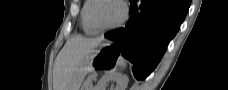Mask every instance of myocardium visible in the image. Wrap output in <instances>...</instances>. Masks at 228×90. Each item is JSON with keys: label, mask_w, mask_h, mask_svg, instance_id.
I'll use <instances>...</instances> for the list:
<instances>
[{"label": "myocardium", "mask_w": 228, "mask_h": 90, "mask_svg": "<svg viewBox=\"0 0 228 90\" xmlns=\"http://www.w3.org/2000/svg\"><path fill=\"white\" fill-rule=\"evenodd\" d=\"M100 1H103V0H94L93 5L90 8L89 20H90V23L93 26V28L96 31H98V32H104V31L114 30V29L119 28L120 26H122L125 23V21L127 20V17H128V8H127L125 2L122 1V0H112V1H115L116 3H118L121 6L122 15H121L120 19L116 23H114L113 25L106 26V27H101V26H99L96 23V20L94 18V11H95L96 5Z\"/></svg>", "instance_id": "myocardium-1"}]
</instances>
